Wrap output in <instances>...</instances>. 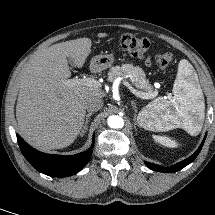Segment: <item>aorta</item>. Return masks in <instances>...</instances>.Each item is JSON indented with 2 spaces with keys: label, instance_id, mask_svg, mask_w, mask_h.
I'll return each mask as SVG.
<instances>
[{
  "label": "aorta",
  "instance_id": "762f6f07",
  "mask_svg": "<svg viewBox=\"0 0 215 215\" xmlns=\"http://www.w3.org/2000/svg\"><path fill=\"white\" fill-rule=\"evenodd\" d=\"M108 125L110 128H122L124 126V120L117 115H112L108 118Z\"/></svg>",
  "mask_w": 215,
  "mask_h": 215
}]
</instances>
